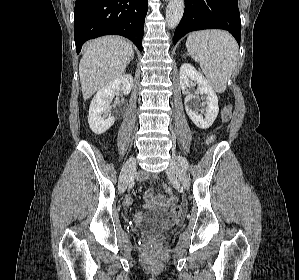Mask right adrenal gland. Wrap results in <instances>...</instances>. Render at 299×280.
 <instances>
[{
  "instance_id": "2a0ac1e0",
  "label": "right adrenal gland",
  "mask_w": 299,
  "mask_h": 280,
  "mask_svg": "<svg viewBox=\"0 0 299 280\" xmlns=\"http://www.w3.org/2000/svg\"><path fill=\"white\" fill-rule=\"evenodd\" d=\"M133 59H134V53H132L131 58H130V61L133 60ZM130 61H129V62H130Z\"/></svg>"
}]
</instances>
